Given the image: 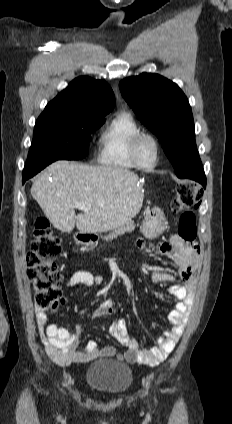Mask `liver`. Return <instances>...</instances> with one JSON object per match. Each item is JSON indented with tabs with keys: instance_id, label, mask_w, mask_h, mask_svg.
I'll use <instances>...</instances> for the list:
<instances>
[{
	"instance_id": "1",
	"label": "liver",
	"mask_w": 232,
	"mask_h": 424,
	"mask_svg": "<svg viewBox=\"0 0 232 424\" xmlns=\"http://www.w3.org/2000/svg\"><path fill=\"white\" fill-rule=\"evenodd\" d=\"M51 174V180L49 179ZM142 180L127 169L60 160L33 182L31 195L53 226L70 233L114 230L138 214L144 199ZM91 209L76 216L75 204Z\"/></svg>"
}]
</instances>
